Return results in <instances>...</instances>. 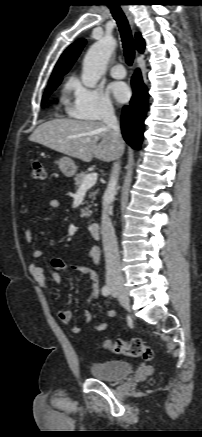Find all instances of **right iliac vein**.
<instances>
[{
  "label": "right iliac vein",
  "instance_id": "obj_1",
  "mask_svg": "<svg viewBox=\"0 0 202 437\" xmlns=\"http://www.w3.org/2000/svg\"><path fill=\"white\" fill-rule=\"evenodd\" d=\"M110 287L115 295L119 298L121 304L125 307H129L130 300L125 289L122 286L115 284H110Z\"/></svg>",
  "mask_w": 202,
  "mask_h": 437
}]
</instances>
